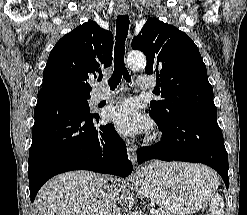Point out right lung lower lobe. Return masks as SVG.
Segmentation results:
<instances>
[{
	"instance_id": "obj_1",
	"label": "right lung lower lobe",
	"mask_w": 247,
	"mask_h": 215,
	"mask_svg": "<svg viewBox=\"0 0 247 215\" xmlns=\"http://www.w3.org/2000/svg\"><path fill=\"white\" fill-rule=\"evenodd\" d=\"M34 118L28 168L32 202L59 173L90 170L126 177L132 172L125 142L113 125L99 124L98 114L38 93Z\"/></svg>"
}]
</instances>
